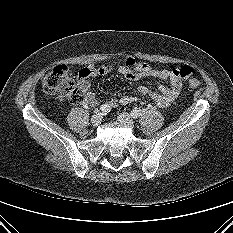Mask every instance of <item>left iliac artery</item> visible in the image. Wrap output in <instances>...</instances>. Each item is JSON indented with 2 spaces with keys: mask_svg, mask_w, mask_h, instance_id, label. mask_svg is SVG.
I'll return each mask as SVG.
<instances>
[{
  "mask_svg": "<svg viewBox=\"0 0 233 233\" xmlns=\"http://www.w3.org/2000/svg\"><path fill=\"white\" fill-rule=\"evenodd\" d=\"M141 114V109L140 108H134L132 111H131V116L135 119V118H138L139 115Z\"/></svg>",
  "mask_w": 233,
  "mask_h": 233,
  "instance_id": "left-iliac-artery-1",
  "label": "left iliac artery"
}]
</instances>
